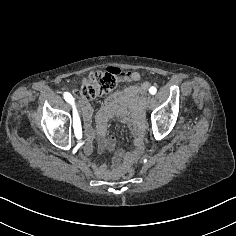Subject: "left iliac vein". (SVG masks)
<instances>
[{"instance_id": "4c4485c4", "label": "left iliac vein", "mask_w": 236, "mask_h": 236, "mask_svg": "<svg viewBox=\"0 0 236 236\" xmlns=\"http://www.w3.org/2000/svg\"><path fill=\"white\" fill-rule=\"evenodd\" d=\"M155 98L153 97L152 99H150V104H155Z\"/></svg>"}]
</instances>
